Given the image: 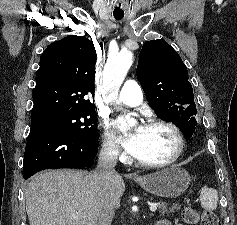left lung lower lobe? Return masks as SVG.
Instances as JSON below:
<instances>
[{
	"mask_svg": "<svg viewBox=\"0 0 237 225\" xmlns=\"http://www.w3.org/2000/svg\"><path fill=\"white\" fill-rule=\"evenodd\" d=\"M197 126H198V124H197ZM197 126H196V129H197ZM194 131H195V130H194ZM193 133H194V132H191V133H188V134L184 135V136H185V139H186V140H189V139L192 137Z\"/></svg>",
	"mask_w": 237,
	"mask_h": 225,
	"instance_id": "1",
	"label": "left lung lower lobe"
}]
</instances>
